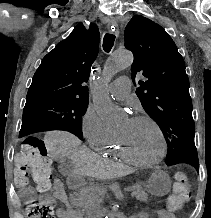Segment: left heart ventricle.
Returning <instances> with one entry per match:
<instances>
[{"label": "left heart ventricle", "mask_w": 211, "mask_h": 218, "mask_svg": "<svg viewBox=\"0 0 211 218\" xmlns=\"http://www.w3.org/2000/svg\"><path fill=\"white\" fill-rule=\"evenodd\" d=\"M129 150L139 159L153 161L161 151L159 135L154 126L146 120L126 119L116 132Z\"/></svg>", "instance_id": "b2bd125f"}]
</instances>
